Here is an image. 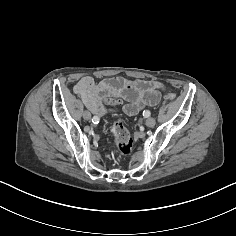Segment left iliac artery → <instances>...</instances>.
Returning a JSON list of instances; mask_svg holds the SVG:
<instances>
[{"label":"left iliac artery","instance_id":"44dca946","mask_svg":"<svg viewBox=\"0 0 236 236\" xmlns=\"http://www.w3.org/2000/svg\"><path fill=\"white\" fill-rule=\"evenodd\" d=\"M150 114H151V113H150V111H148V110H144V111H143V116H144V117H149Z\"/></svg>","mask_w":236,"mask_h":236}]
</instances>
